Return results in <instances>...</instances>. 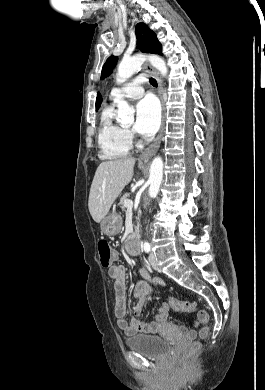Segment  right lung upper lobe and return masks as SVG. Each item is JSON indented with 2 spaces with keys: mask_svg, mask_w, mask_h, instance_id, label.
<instances>
[{
  "mask_svg": "<svg viewBox=\"0 0 265 390\" xmlns=\"http://www.w3.org/2000/svg\"><path fill=\"white\" fill-rule=\"evenodd\" d=\"M102 103V96L100 93L97 94V98H96V110L99 109L100 105Z\"/></svg>",
  "mask_w": 265,
  "mask_h": 390,
  "instance_id": "obj_1",
  "label": "right lung upper lobe"
}]
</instances>
